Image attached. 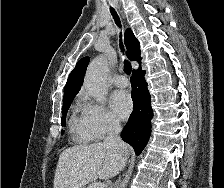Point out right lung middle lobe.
Here are the masks:
<instances>
[{
  "label": "right lung middle lobe",
  "instance_id": "right-lung-middle-lobe-1",
  "mask_svg": "<svg viewBox=\"0 0 224 188\" xmlns=\"http://www.w3.org/2000/svg\"><path fill=\"white\" fill-rule=\"evenodd\" d=\"M74 97L75 96H73V97H71V98H69V99H67V100H64L63 101V108H62V118H61V125L62 126H64L65 125V120H66V118H65V116H66V114H67V111H68V109H69V107H70V105H71V102H72V100L74 99ZM64 133V131H62V134Z\"/></svg>",
  "mask_w": 224,
  "mask_h": 188
}]
</instances>
